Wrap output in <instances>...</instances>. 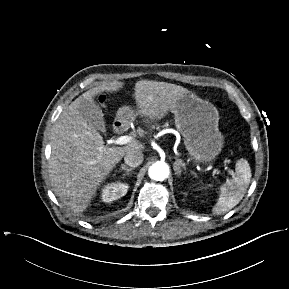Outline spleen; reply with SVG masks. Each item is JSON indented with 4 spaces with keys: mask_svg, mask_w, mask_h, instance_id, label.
Instances as JSON below:
<instances>
[{
    "mask_svg": "<svg viewBox=\"0 0 289 289\" xmlns=\"http://www.w3.org/2000/svg\"><path fill=\"white\" fill-rule=\"evenodd\" d=\"M251 169L245 159L235 165V175L220 186L219 198L213 207L216 214L226 213L234 208L244 197L251 180Z\"/></svg>",
    "mask_w": 289,
    "mask_h": 289,
    "instance_id": "1",
    "label": "spleen"
}]
</instances>
